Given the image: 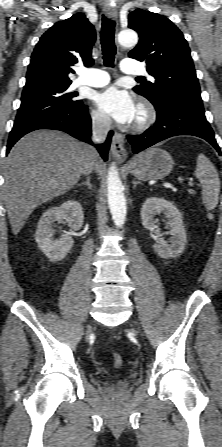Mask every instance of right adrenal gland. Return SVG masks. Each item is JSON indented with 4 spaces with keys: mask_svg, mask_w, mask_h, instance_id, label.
Returning <instances> with one entry per match:
<instances>
[{
    "mask_svg": "<svg viewBox=\"0 0 222 447\" xmlns=\"http://www.w3.org/2000/svg\"><path fill=\"white\" fill-rule=\"evenodd\" d=\"M82 185H86V186H88V188H89L90 190H92L91 179H90L89 176L86 178V181H85V182H82V183L78 184V186H82Z\"/></svg>",
    "mask_w": 222,
    "mask_h": 447,
    "instance_id": "1",
    "label": "right adrenal gland"
}]
</instances>
